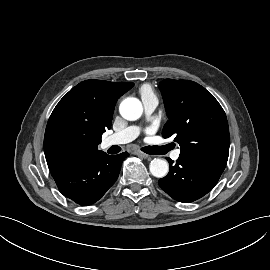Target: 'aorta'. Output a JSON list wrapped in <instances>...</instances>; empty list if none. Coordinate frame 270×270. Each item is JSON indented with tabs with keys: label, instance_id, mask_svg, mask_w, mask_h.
<instances>
[{
	"label": "aorta",
	"instance_id": "obj_1",
	"mask_svg": "<svg viewBox=\"0 0 270 270\" xmlns=\"http://www.w3.org/2000/svg\"><path fill=\"white\" fill-rule=\"evenodd\" d=\"M121 116L129 121L139 119L143 113L142 103L134 97L124 99L119 106ZM150 172L157 178H163L167 175L169 165L166 160L153 159L149 166Z\"/></svg>",
	"mask_w": 270,
	"mask_h": 270
}]
</instances>
